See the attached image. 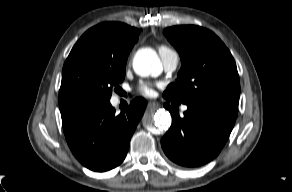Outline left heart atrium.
Instances as JSON below:
<instances>
[{
    "label": "left heart atrium",
    "mask_w": 292,
    "mask_h": 192,
    "mask_svg": "<svg viewBox=\"0 0 292 192\" xmlns=\"http://www.w3.org/2000/svg\"><path fill=\"white\" fill-rule=\"evenodd\" d=\"M139 91L141 94L145 95V96H152L154 94V90L152 85L147 84V83H142L139 86Z\"/></svg>",
    "instance_id": "39dd6f15"
}]
</instances>
